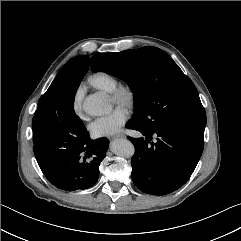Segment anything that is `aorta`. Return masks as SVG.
<instances>
[{"label":"aorta","instance_id":"obj_1","mask_svg":"<svg viewBox=\"0 0 241 241\" xmlns=\"http://www.w3.org/2000/svg\"><path fill=\"white\" fill-rule=\"evenodd\" d=\"M83 110L92 116H101L111 111V105L107 97L101 93H94L87 96L83 102ZM111 150L114 154L130 158L135 153V147L127 139H116L111 143Z\"/></svg>","mask_w":241,"mask_h":241}]
</instances>
